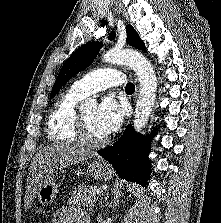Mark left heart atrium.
Listing matches in <instances>:
<instances>
[{"label": "left heart atrium", "mask_w": 221, "mask_h": 223, "mask_svg": "<svg viewBox=\"0 0 221 223\" xmlns=\"http://www.w3.org/2000/svg\"><path fill=\"white\" fill-rule=\"evenodd\" d=\"M124 119V106L112 96L103 99L96 111L98 129L106 136L115 132Z\"/></svg>", "instance_id": "obj_1"}]
</instances>
